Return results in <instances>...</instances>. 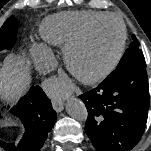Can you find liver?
Wrapping results in <instances>:
<instances>
[{
    "label": "liver",
    "instance_id": "1",
    "mask_svg": "<svg viewBox=\"0 0 151 151\" xmlns=\"http://www.w3.org/2000/svg\"><path fill=\"white\" fill-rule=\"evenodd\" d=\"M30 82V62L22 56L8 55L0 68V99L15 101L26 92Z\"/></svg>",
    "mask_w": 151,
    "mask_h": 151
}]
</instances>
